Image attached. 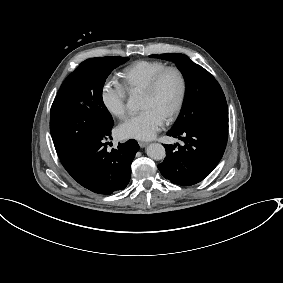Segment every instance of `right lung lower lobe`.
Returning a JSON list of instances; mask_svg holds the SVG:
<instances>
[{
  "mask_svg": "<svg viewBox=\"0 0 283 283\" xmlns=\"http://www.w3.org/2000/svg\"><path fill=\"white\" fill-rule=\"evenodd\" d=\"M112 129V128H111ZM111 129L105 135L94 136L78 146L60 161L71 177L80 185L98 194L109 195L123 190L131 177V163L139 150L135 140L118 144L107 151L105 140L111 138Z\"/></svg>",
  "mask_w": 283,
  "mask_h": 283,
  "instance_id": "1",
  "label": "right lung lower lobe"
}]
</instances>
